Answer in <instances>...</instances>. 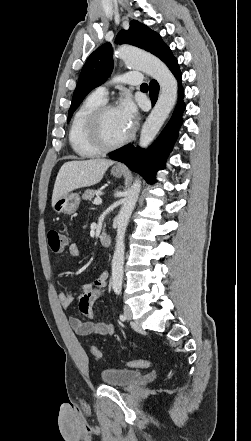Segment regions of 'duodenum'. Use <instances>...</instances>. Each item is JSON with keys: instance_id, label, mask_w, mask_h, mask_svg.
<instances>
[{"instance_id": "410a0bca", "label": "duodenum", "mask_w": 251, "mask_h": 441, "mask_svg": "<svg viewBox=\"0 0 251 441\" xmlns=\"http://www.w3.org/2000/svg\"><path fill=\"white\" fill-rule=\"evenodd\" d=\"M100 243L104 247H108L111 244V236L108 233H102L99 237Z\"/></svg>"}]
</instances>
